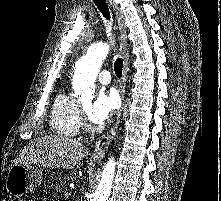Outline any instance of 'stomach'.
Here are the masks:
<instances>
[{
	"label": "stomach",
	"instance_id": "1",
	"mask_svg": "<svg viewBox=\"0 0 221 201\" xmlns=\"http://www.w3.org/2000/svg\"><path fill=\"white\" fill-rule=\"evenodd\" d=\"M42 182V172L30 164H14L8 172L6 190L14 196L33 192Z\"/></svg>",
	"mask_w": 221,
	"mask_h": 201
}]
</instances>
